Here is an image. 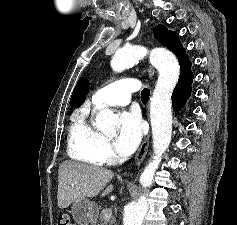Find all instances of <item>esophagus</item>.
<instances>
[{"instance_id":"1","label":"esophagus","mask_w":237,"mask_h":225,"mask_svg":"<svg viewBox=\"0 0 237 225\" xmlns=\"http://www.w3.org/2000/svg\"><path fill=\"white\" fill-rule=\"evenodd\" d=\"M148 75H149L150 79H153L154 76H155V70L152 66L149 67ZM145 114H146V118L149 119L148 105L146 106V113ZM149 141H150V134H148L145 137V139L143 140V142H142V144H141V146H140V148H139V150H138V152L135 156V159H134L135 166H139L143 162V160H144V158L147 154V151H148ZM123 175L127 176L128 172L127 171L124 172Z\"/></svg>"}]
</instances>
